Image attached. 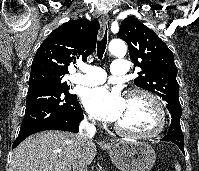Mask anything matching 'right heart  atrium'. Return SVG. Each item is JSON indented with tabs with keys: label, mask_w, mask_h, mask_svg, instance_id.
I'll return each mask as SVG.
<instances>
[{
	"label": "right heart atrium",
	"mask_w": 199,
	"mask_h": 171,
	"mask_svg": "<svg viewBox=\"0 0 199 171\" xmlns=\"http://www.w3.org/2000/svg\"><path fill=\"white\" fill-rule=\"evenodd\" d=\"M92 121L94 120L92 117L90 118Z\"/></svg>",
	"instance_id": "d8ad5b80"
}]
</instances>
